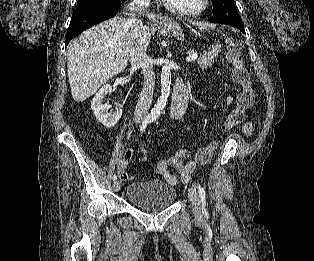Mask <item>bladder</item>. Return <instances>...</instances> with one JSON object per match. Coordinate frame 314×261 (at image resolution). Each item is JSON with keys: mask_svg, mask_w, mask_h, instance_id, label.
<instances>
[{"mask_svg": "<svg viewBox=\"0 0 314 261\" xmlns=\"http://www.w3.org/2000/svg\"><path fill=\"white\" fill-rule=\"evenodd\" d=\"M176 197L175 186L159 180L135 182L127 189L128 201L146 212L167 209L174 204Z\"/></svg>", "mask_w": 314, "mask_h": 261, "instance_id": "1", "label": "bladder"}]
</instances>
